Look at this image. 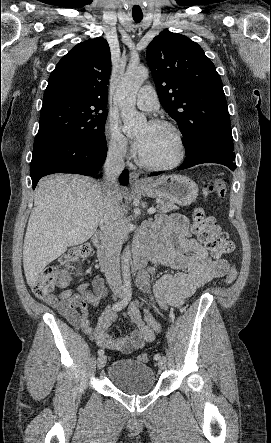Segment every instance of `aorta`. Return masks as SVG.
<instances>
[{"label": "aorta", "mask_w": 271, "mask_h": 443, "mask_svg": "<svg viewBox=\"0 0 271 443\" xmlns=\"http://www.w3.org/2000/svg\"><path fill=\"white\" fill-rule=\"evenodd\" d=\"M148 76L149 72L144 66H129L122 82L117 86L114 98L121 110L124 130L127 134L139 132L147 122L143 114H138L135 106L137 92ZM130 255L131 249L125 247L122 255V273L124 279L128 281L130 279Z\"/></svg>", "instance_id": "obj_1"}]
</instances>
